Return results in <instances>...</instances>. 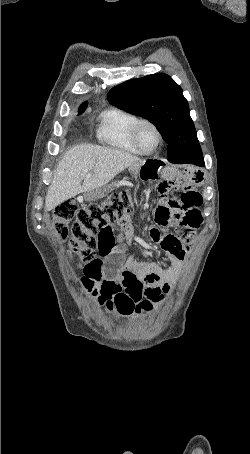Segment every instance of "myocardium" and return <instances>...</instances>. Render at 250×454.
<instances>
[{"instance_id":"obj_1","label":"myocardium","mask_w":250,"mask_h":454,"mask_svg":"<svg viewBox=\"0 0 250 454\" xmlns=\"http://www.w3.org/2000/svg\"><path fill=\"white\" fill-rule=\"evenodd\" d=\"M142 125H149L150 127H152L157 136V143L150 150L145 149L139 140V129ZM131 137H132V141L135 144V146L144 154H152V153L156 152L159 149V147L161 146L162 141H163L162 132H161L160 128L158 127V125L154 121L147 119V118H138L134 122V124L132 126V130H131Z\"/></svg>"}]
</instances>
